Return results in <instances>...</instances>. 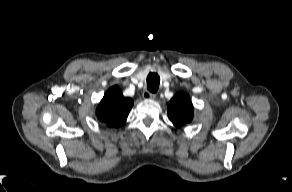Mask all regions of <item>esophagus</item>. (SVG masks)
I'll list each match as a JSON object with an SVG mask.
<instances>
[{
    "label": "esophagus",
    "mask_w": 292,
    "mask_h": 192,
    "mask_svg": "<svg viewBox=\"0 0 292 192\" xmlns=\"http://www.w3.org/2000/svg\"><path fill=\"white\" fill-rule=\"evenodd\" d=\"M143 97H144L145 99H155V98H156V94L151 93V92H148V91H145V92L143 93Z\"/></svg>",
    "instance_id": "34e87169"
}]
</instances>
